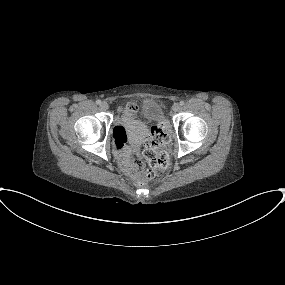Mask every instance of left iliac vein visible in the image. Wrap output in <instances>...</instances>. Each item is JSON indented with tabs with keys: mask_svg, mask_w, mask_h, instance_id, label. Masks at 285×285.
Masks as SVG:
<instances>
[{
	"mask_svg": "<svg viewBox=\"0 0 285 285\" xmlns=\"http://www.w3.org/2000/svg\"><path fill=\"white\" fill-rule=\"evenodd\" d=\"M181 106L178 103H174L172 106V110L174 112H178L180 110Z\"/></svg>",
	"mask_w": 285,
	"mask_h": 285,
	"instance_id": "4c4485c4",
	"label": "left iliac vein"
}]
</instances>
